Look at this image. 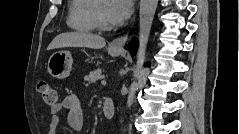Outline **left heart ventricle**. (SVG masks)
<instances>
[{"label": "left heart ventricle", "mask_w": 239, "mask_h": 134, "mask_svg": "<svg viewBox=\"0 0 239 134\" xmlns=\"http://www.w3.org/2000/svg\"><path fill=\"white\" fill-rule=\"evenodd\" d=\"M100 13H101V16L103 18V20L109 24V25H112V20L110 19L109 17V14H108V1L106 0H102L100 2Z\"/></svg>", "instance_id": "obj_1"}]
</instances>
